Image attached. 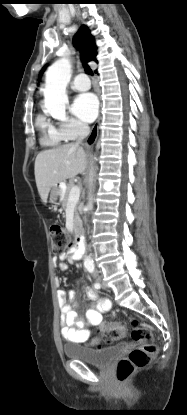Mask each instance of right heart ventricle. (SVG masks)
Listing matches in <instances>:
<instances>
[{"label":"right heart ventricle","instance_id":"obj_1","mask_svg":"<svg viewBox=\"0 0 187 415\" xmlns=\"http://www.w3.org/2000/svg\"><path fill=\"white\" fill-rule=\"evenodd\" d=\"M36 126L40 132V141L42 145L55 147L60 145L65 138L60 130L53 122L44 115L39 114L36 118Z\"/></svg>","mask_w":187,"mask_h":415}]
</instances>
